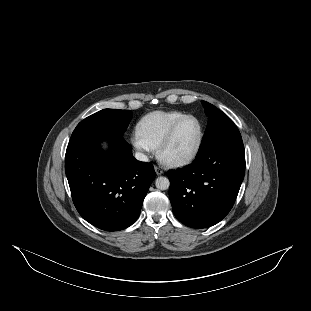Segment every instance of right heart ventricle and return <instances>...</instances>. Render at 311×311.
<instances>
[{
  "label": "right heart ventricle",
  "instance_id": "right-heart-ventricle-1",
  "mask_svg": "<svg viewBox=\"0 0 311 311\" xmlns=\"http://www.w3.org/2000/svg\"><path fill=\"white\" fill-rule=\"evenodd\" d=\"M187 114L179 111H152L142 116L135 124V135L144 143L157 148L170 128Z\"/></svg>",
  "mask_w": 311,
  "mask_h": 311
}]
</instances>
